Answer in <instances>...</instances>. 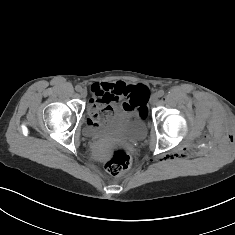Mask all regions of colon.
Masks as SVG:
<instances>
[{
    "label": "colon",
    "mask_w": 235,
    "mask_h": 235,
    "mask_svg": "<svg viewBox=\"0 0 235 235\" xmlns=\"http://www.w3.org/2000/svg\"><path fill=\"white\" fill-rule=\"evenodd\" d=\"M148 95V88L144 85H139L133 89L132 94L127 98L126 107L129 111L140 108L145 110V100ZM112 117V111L108 108L100 110L93 118L90 119L94 122H106ZM131 165V158L128 152L120 147L115 146L110 150L106 161V169L113 177L123 175Z\"/></svg>",
    "instance_id": "colon-1"
}]
</instances>
